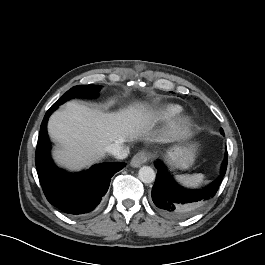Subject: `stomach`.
<instances>
[{
  "mask_svg": "<svg viewBox=\"0 0 265 265\" xmlns=\"http://www.w3.org/2000/svg\"><path fill=\"white\" fill-rule=\"evenodd\" d=\"M197 149V144L174 146L167 153V161L172 168L190 169L195 162Z\"/></svg>",
  "mask_w": 265,
  "mask_h": 265,
  "instance_id": "stomach-1",
  "label": "stomach"
}]
</instances>
